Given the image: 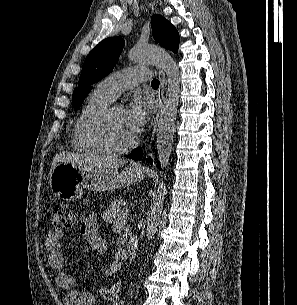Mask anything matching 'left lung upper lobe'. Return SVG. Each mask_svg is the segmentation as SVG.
<instances>
[{
    "mask_svg": "<svg viewBox=\"0 0 297 305\" xmlns=\"http://www.w3.org/2000/svg\"><path fill=\"white\" fill-rule=\"evenodd\" d=\"M151 27L157 43L175 53L178 51V31L167 19L159 14L153 15ZM124 44L122 38H107L101 41L86 57L78 87L73 92L72 101L75 110L82 105L84 98L91 90V84L98 82L113 70Z\"/></svg>",
    "mask_w": 297,
    "mask_h": 305,
    "instance_id": "5c2ea615",
    "label": "left lung upper lobe"
}]
</instances>
